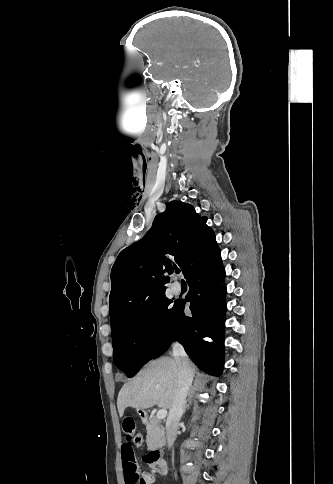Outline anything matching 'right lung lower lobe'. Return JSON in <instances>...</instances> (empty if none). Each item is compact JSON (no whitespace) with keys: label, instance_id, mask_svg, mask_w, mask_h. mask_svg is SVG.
Listing matches in <instances>:
<instances>
[{"label":"right lung lower lobe","instance_id":"obj_1","mask_svg":"<svg viewBox=\"0 0 333 484\" xmlns=\"http://www.w3.org/2000/svg\"><path fill=\"white\" fill-rule=\"evenodd\" d=\"M225 270L219 248L188 278L191 317L184 314L185 302L179 304L172 326L153 358L163 354L172 340H178L186 353L201 370L221 375L224 363V323L226 286L222 285ZM209 337L213 342L204 341Z\"/></svg>","mask_w":333,"mask_h":484}]
</instances>
